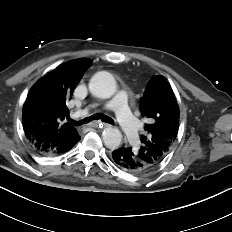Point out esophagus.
Instances as JSON below:
<instances>
[{
  "label": "esophagus",
  "instance_id": "obj_1",
  "mask_svg": "<svg viewBox=\"0 0 232 232\" xmlns=\"http://www.w3.org/2000/svg\"><path fill=\"white\" fill-rule=\"evenodd\" d=\"M91 127H100V128H106V127H110V124L107 123H102V122H93L90 124Z\"/></svg>",
  "mask_w": 232,
  "mask_h": 232
}]
</instances>
